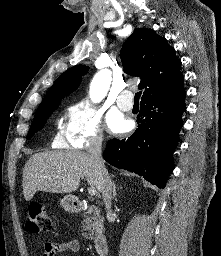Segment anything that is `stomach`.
<instances>
[{
	"mask_svg": "<svg viewBox=\"0 0 221 256\" xmlns=\"http://www.w3.org/2000/svg\"><path fill=\"white\" fill-rule=\"evenodd\" d=\"M60 204L65 211L72 212L75 210V197L72 195H66L60 200Z\"/></svg>",
	"mask_w": 221,
	"mask_h": 256,
	"instance_id": "stomach-1",
	"label": "stomach"
}]
</instances>
